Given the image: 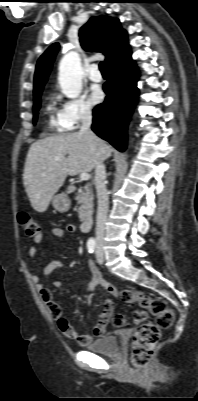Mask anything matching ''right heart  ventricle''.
I'll use <instances>...</instances> for the list:
<instances>
[{
    "mask_svg": "<svg viewBox=\"0 0 198 401\" xmlns=\"http://www.w3.org/2000/svg\"><path fill=\"white\" fill-rule=\"evenodd\" d=\"M47 112L49 115V123L50 126L60 132L66 131V129L61 125V123L59 122L58 117H56L53 113V108L51 105L47 106Z\"/></svg>",
    "mask_w": 198,
    "mask_h": 401,
    "instance_id": "right-heart-ventricle-1",
    "label": "right heart ventricle"
}]
</instances>
